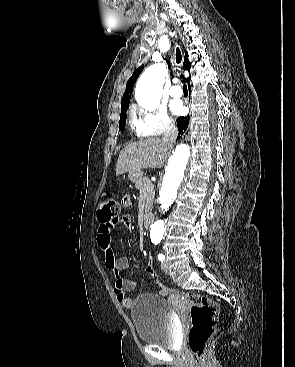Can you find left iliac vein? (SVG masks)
I'll return each instance as SVG.
<instances>
[{"mask_svg": "<svg viewBox=\"0 0 295 367\" xmlns=\"http://www.w3.org/2000/svg\"><path fill=\"white\" fill-rule=\"evenodd\" d=\"M161 268L162 270L165 272V273H169V267H168V263L165 261V262H162L161 264Z\"/></svg>", "mask_w": 295, "mask_h": 367, "instance_id": "1", "label": "left iliac vein"}]
</instances>
